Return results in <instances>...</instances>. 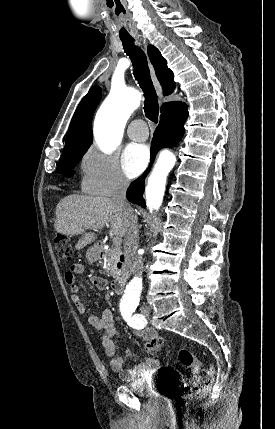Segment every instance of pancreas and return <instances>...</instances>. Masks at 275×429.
Wrapping results in <instances>:
<instances>
[{
	"mask_svg": "<svg viewBox=\"0 0 275 429\" xmlns=\"http://www.w3.org/2000/svg\"><path fill=\"white\" fill-rule=\"evenodd\" d=\"M119 251H110L105 260L106 268L109 270L110 275L113 278H117L121 275V271L117 268V262L119 259Z\"/></svg>",
	"mask_w": 275,
	"mask_h": 429,
	"instance_id": "1",
	"label": "pancreas"
}]
</instances>
